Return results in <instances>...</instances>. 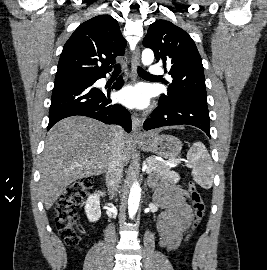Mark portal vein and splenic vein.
<instances>
[{
    "instance_id": "obj_1",
    "label": "portal vein and splenic vein",
    "mask_w": 267,
    "mask_h": 270,
    "mask_svg": "<svg viewBox=\"0 0 267 270\" xmlns=\"http://www.w3.org/2000/svg\"><path fill=\"white\" fill-rule=\"evenodd\" d=\"M166 163H167L168 165H170V166H174V165L180 163V160L174 158V159H170V160L166 161ZM142 170H143V171H146L147 174H150V173H151V169L148 168L147 165H143Z\"/></svg>"
}]
</instances>
